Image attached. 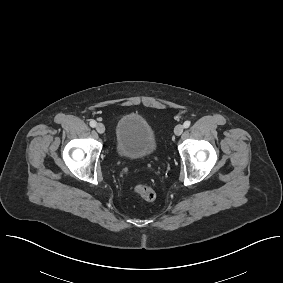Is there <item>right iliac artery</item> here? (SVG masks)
Masks as SVG:
<instances>
[{"mask_svg":"<svg viewBox=\"0 0 283 283\" xmlns=\"http://www.w3.org/2000/svg\"><path fill=\"white\" fill-rule=\"evenodd\" d=\"M89 124H90L91 127H95L96 126V121L95 120H91Z\"/></svg>","mask_w":283,"mask_h":283,"instance_id":"82829eb1","label":"right iliac artery"}]
</instances>
